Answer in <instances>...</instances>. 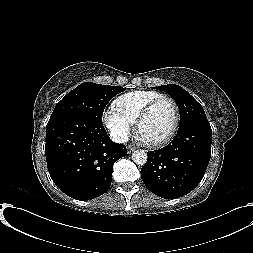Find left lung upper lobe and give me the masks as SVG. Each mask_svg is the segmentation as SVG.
<instances>
[{
    "label": "left lung upper lobe",
    "mask_w": 253,
    "mask_h": 253,
    "mask_svg": "<svg viewBox=\"0 0 253 253\" xmlns=\"http://www.w3.org/2000/svg\"><path fill=\"white\" fill-rule=\"evenodd\" d=\"M176 102L180 112V125L196 118H207L203 107L182 87L175 84L159 86Z\"/></svg>",
    "instance_id": "left-lung-upper-lobe-1"
}]
</instances>
